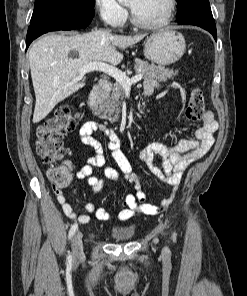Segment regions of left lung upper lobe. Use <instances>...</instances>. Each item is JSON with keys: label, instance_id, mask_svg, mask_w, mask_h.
<instances>
[{"label": "left lung upper lobe", "instance_id": "1", "mask_svg": "<svg viewBox=\"0 0 247 296\" xmlns=\"http://www.w3.org/2000/svg\"><path fill=\"white\" fill-rule=\"evenodd\" d=\"M178 2V12L176 17L180 18L183 15L192 11L199 4H209V0H176Z\"/></svg>", "mask_w": 247, "mask_h": 296}]
</instances>
